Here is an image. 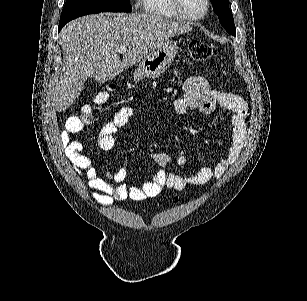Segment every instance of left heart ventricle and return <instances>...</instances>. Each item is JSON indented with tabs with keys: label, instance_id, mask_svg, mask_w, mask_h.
<instances>
[{
	"label": "left heart ventricle",
	"instance_id": "1",
	"mask_svg": "<svg viewBox=\"0 0 307 301\" xmlns=\"http://www.w3.org/2000/svg\"><path fill=\"white\" fill-rule=\"evenodd\" d=\"M179 13H189V11H199L200 5L198 0H184L179 3Z\"/></svg>",
	"mask_w": 307,
	"mask_h": 301
}]
</instances>
